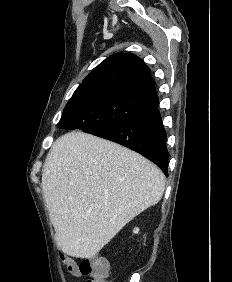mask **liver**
Wrapping results in <instances>:
<instances>
[{
    "instance_id": "6515ba94",
    "label": "liver",
    "mask_w": 232,
    "mask_h": 282,
    "mask_svg": "<svg viewBox=\"0 0 232 282\" xmlns=\"http://www.w3.org/2000/svg\"><path fill=\"white\" fill-rule=\"evenodd\" d=\"M164 190V174L152 162L80 131L54 142L42 174L57 245L76 258L95 256Z\"/></svg>"
}]
</instances>
